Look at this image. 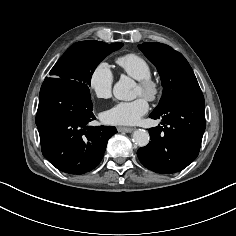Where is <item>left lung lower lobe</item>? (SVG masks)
Here are the masks:
<instances>
[{"label":"left lung lower lobe","mask_w":236,"mask_h":236,"mask_svg":"<svg viewBox=\"0 0 236 236\" xmlns=\"http://www.w3.org/2000/svg\"><path fill=\"white\" fill-rule=\"evenodd\" d=\"M150 117L164 126L149 129L151 141L137 151L140 162L157 173L183 170L198 156L206 127L202 91L183 92Z\"/></svg>","instance_id":"obj_1"}]
</instances>
